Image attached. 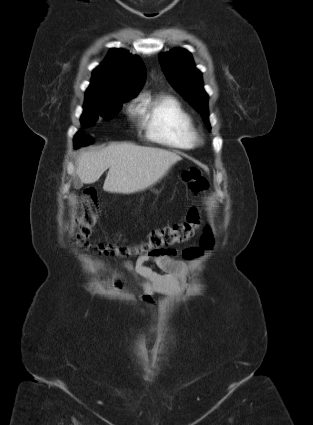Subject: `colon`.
<instances>
[{
    "label": "colon",
    "mask_w": 313,
    "mask_h": 425,
    "mask_svg": "<svg viewBox=\"0 0 313 425\" xmlns=\"http://www.w3.org/2000/svg\"><path fill=\"white\" fill-rule=\"evenodd\" d=\"M183 180L194 192H202L208 188L207 180L202 176L200 170L191 167L183 171ZM101 208L98 202L97 191L93 187L86 188L83 193V206L76 220V232L74 237L75 246L85 252H98L107 257H131L137 255H157L171 246L184 243L196 232L199 224V213L192 208L185 221L161 229L152 230L147 239L136 245H117L112 243H100L93 245L89 242L92 228L96 224ZM213 243V237L209 230L202 236L201 244L208 248ZM198 249H188L184 255L188 258L200 255Z\"/></svg>",
    "instance_id": "5ec220e1"
}]
</instances>
